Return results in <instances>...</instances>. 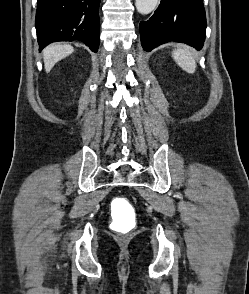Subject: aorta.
Segmentation results:
<instances>
[{"instance_id":"obj_1","label":"aorta","mask_w":249,"mask_h":294,"mask_svg":"<svg viewBox=\"0 0 249 294\" xmlns=\"http://www.w3.org/2000/svg\"><path fill=\"white\" fill-rule=\"evenodd\" d=\"M157 3L158 0H136L135 6L139 13L147 15L155 9Z\"/></svg>"}]
</instances>
